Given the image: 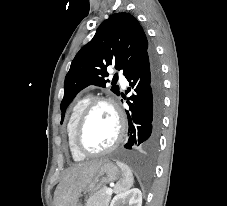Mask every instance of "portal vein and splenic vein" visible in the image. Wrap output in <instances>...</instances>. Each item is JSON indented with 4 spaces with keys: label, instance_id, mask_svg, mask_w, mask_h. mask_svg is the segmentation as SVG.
Returning <instances> with one entry per match:
<instances>
[{
    "label": "portal vein and splenic vein",
    "instance_id": "18ae733b",
    "mask_svg": "<svg viewBox=\"0 0 227 206\" xmlns=\"http://www.w3.org/2000/svg\"><path fill=\"white\" fill-rule=\"evenodd\" d=\"M112 192H113V190L111 188H108L106 191L107 194H112Z\"/></svg>",
    "mask_w": 227,
    "mask_h": 206
}]
</instances>
